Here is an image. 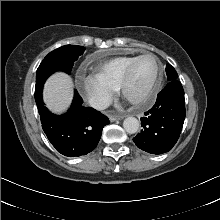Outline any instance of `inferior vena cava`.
Here are the masks:
<instances>
[{
	"label": "inferior vena cava",
	"mask_w": 220,
	"mask_h": 220,
	"mask_svg": "<svg viewBox=\"0 0 220 220\" xmlns=\"http://www.w3.org/2000/svg\"><path fill=\"white\" fill-rule=\"evenodd\" d=\"M89 104L97 110H104L109 106V101L103 96H93L89 99Z\"/></svg>",
	"instance_id": "1"
}]
</instances>
